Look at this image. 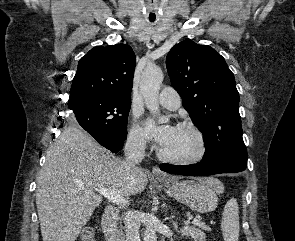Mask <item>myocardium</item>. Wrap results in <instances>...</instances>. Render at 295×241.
<instances>
[{"label":"myocardium","mask_w":295,"mask_h":241,"mask_svg":"<svg viewBox=\"0 0 295 241\" xmlns=\"http://www.w3.org/2000/svg\"><path fill=\"white\" fill-rule=\"evenodd\" d=\"M177 128L182 129V130H189L191 131L198 144V150L197 152L187 158H178V157H173L165 154L162 149L159 150L158 155L159 157L166 162L176 164V165H183V166H188V165H194L197 163H200L208 154L209 146H208V141L203 133V131L196 126L193 123H179L177 125Z\"/></svg>","instance_id":"1"}]
</instances>
